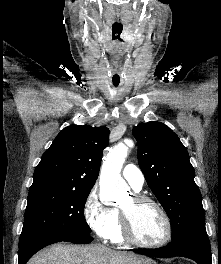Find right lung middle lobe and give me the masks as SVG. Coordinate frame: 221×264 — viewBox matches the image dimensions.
I'll use <instances>...</instances> for the list:
<instances>
[{
	"mask_svg": "<svg viewBox=\"0 0 221 264\" xmlns=\"http://www.w3.org/2000/svg\"><path fill=\"white\" fill-rule=\"evenodd\" d=\"M90 191L58 188L29 191L19 246L42 237L90 235L84 217Z\"/></svg>",
	"mask_w": 221,
	"mask_h": 264,
	"instance_id": "1",
	"label": "right lung middle lobe"
}]
</instances>
